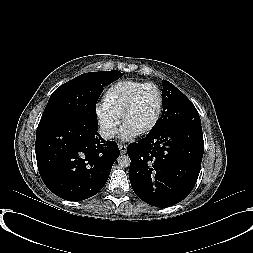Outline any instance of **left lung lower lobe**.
Listing matches in <instances>:
<instances>
[{"label": "left lung lower lobe", "mask_w": 253, "mask_h": 253, "mask_svg": "<svg viewBox=\"0 0 253 253\" xmlns=\"http://www.w3.org/2000/svg\"><path fill=\"white\" fill-rule=\"evenodd\" d=\"M204 151L202 127L180 125L148 133L127 148L135 194L156 207H168L192 191Z\"/></svg>", "instance_id": "left-lung-lower-lobe-1"}]
</instances>
